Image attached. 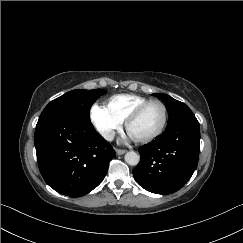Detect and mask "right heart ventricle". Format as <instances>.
Instances as JSON below:
<instances>
[{
    "mask_svg": "<svg viewBox=\"0 0 243 243\" xmlns=\"http://www.w3.org/2000/svg\"><path fill=\"white\" fill-rule=\"evenodd\" d=\"M148 100L149 98L135 94H117L108 100L107 108L123 122L133 110Z\"/></svg>",
    "mask_w": 243,
    "mask_h": 243,
    "instance_id": "obj_1",
    "label": "right heart ventricle"
}]
</instances>
